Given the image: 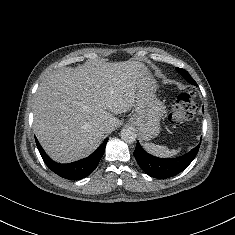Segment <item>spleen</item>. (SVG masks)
Returning <instances> with one entry per match:
<instances>
[{
    "instance_id": "obj_1",
    "label": "spleen",
    "mask_w": 235,
    "mask_h": 235,
    "mask_svg": "<svg viewBox=\"0 0 235 235\" xmlns=\"http://www.w3.org/2000/svg\"><path fill=\"white\" fill-rule=\"evenodd\" d=\"M144 147L149 153L160 157H171L181 150V148L169 150L166 146L155 145L153 143H145Z\"/></svg>"
}]
</instances>
